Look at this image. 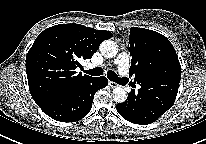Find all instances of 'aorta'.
Returning a JSON list of instances; mask_svg holds the SVG:
<instances>
[{
  "mask_svg": "<svg viewBox=\"0 0 206 144\" xmlns=\"http://www.w3.org/2000/svg\"><path fill=\"white\" fill-rule=\"evenodd\" d=\"M101 54L106 58H113L118 53V45L113 40H105L100 44ZM113 99L117 103H123L127 99V92L122 87L113 89Z\"/></svg>",
  "mask_w": 206,
  "mask_h": 144,
  "instance_id": "1",
  "label": "aorta"
}]
</instances>
